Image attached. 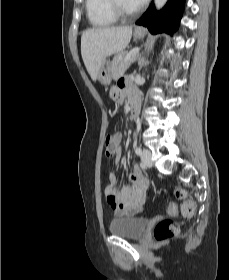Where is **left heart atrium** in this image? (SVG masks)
<instances>
[{"label":"left heart atrium","mask_w":229,"mask_h":280,"mask_svg":"<svg viewBox=\"0 0 229 280\" xmlns=\"http://www.w3.org/2000/svg\"><path fill=\"white\" fill-rule=\"evenodd\" d=\"M135 8H140L146 4L148 0H129Z\"/></svg>","instance_id":"obj_1"}]
</instances>
